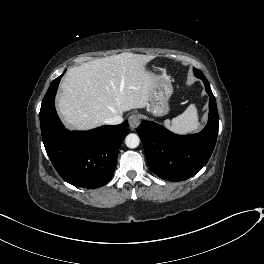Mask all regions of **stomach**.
<instances>
[{
  "label": "stomach",
  "instance_id": "obj_1",
  "mask_svg": "<svg viewBox=\"0 0 264 264\" xmlns=\"http://www.w3.org/2000/svg\"><path fill=\"white\" fill-rule=\"evenodd\" d=\"M147 111L155 117H161L169 112V99L173 93L171 80L163 74H154Z\"/></svg>",
  "mask_w": 264,
  "mask_h": 264
}]
</instances>
